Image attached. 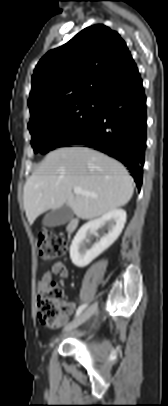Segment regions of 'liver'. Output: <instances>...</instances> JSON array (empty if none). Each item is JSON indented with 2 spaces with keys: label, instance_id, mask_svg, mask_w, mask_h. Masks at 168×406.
<instances>
[{
  "label": "liver",
  "instance_id": "liver-1",
  "mask_svg": "<svg viewBox=\"0 0 168 406\" xmlns=\"http://www.w3.org/2000/svg\"><path fill=\"white\" fill-rule=\"evenodd\" d=\"M74 187L96 197L75 194ZM133 191L132 177L115 159L85 147L60 148L47 154L28 178L23 203L30 225L64 204L78 218L91 220L126 205Z\"/></svg>",
  "mask_w": 168,
  "mask_h": 406
}]
</instances>
